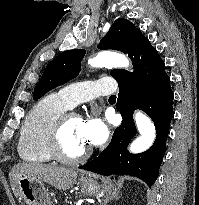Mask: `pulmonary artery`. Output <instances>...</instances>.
<instances>
[{"instance_id":"pulmonary-artery-1","label":"pulmonary artery","mask_w":199,"mask_h":205,"mask_svg":"<svg viewBox=\"0 0 199 205\" xmlns=\"http://www.w3.org/2000/svg\"><path fill=\"white\" fill-rule=\"evenodd\" d=\"M111 84L112 82L104 79L77 82L61 88L59 95L72 108L81 102L113 93L115 87Z\"/></svg>"}]
</instances>
